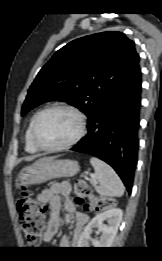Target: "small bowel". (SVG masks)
<instances>
[{
    "instance_id": "small-bowel-1",
    "label": "small bowel",
    "mask_w": 162,
    "mask_h": 261,
    "mask_svg": "<svg viewBox=\"0 0 162 261\" xmlns=\"http://www.w3.org/2000/svg\"><path fill=\"white\" fill-rule=\"evenodd\" d=\"M70 194L71 184L69 182L56 181L52 183L50 188L44 189L37 196V199L41 203L47 204L50 210V218L45 233L43 235V240L45 242L51 241V239L58 231L60 224L59 211L62 206V201L63 207L67 212V223L75 222V235L80 234L82 226L88 221V215L77 210L75 204L70 198ZM72 215H75V221H73ZM68 243V239L65 237L61 240L60 246L66 247L68 246Z\"/></svg>"
}]
</instances>
